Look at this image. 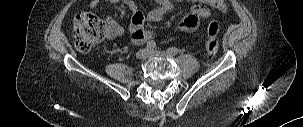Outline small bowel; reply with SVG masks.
Here are the masks:
<instances>
[{"instance_id": "small-bowel-1", "label": "small bowel", "mask_w": 303, "mask_h": 127, "mask_svg": "<svg viewBox=\"0 0 303 127\" xmlns=\"http://www.w3.org/2000/svg\"><path fill=\"white\" fill-rule=\"evenodd\" d=\"M101 0H91L89 7L94 9L98 6ZM107 2L125 5L132 13L129 31L131 40L134 44H143L153 41L154 33L145 30V22H158L163 19L171 10V0H154L156 6L149 11L146 15L141 12L134 0H105ZM182 1V0H176ZM198 2L199 5L193 6L189 13L180 21L179 27L183 31H194L201 18H209L216 11H225L226 5L222 0H188ZM107 22L109 25L110 36L118 37L123 33L122 26L113 18L108 17Z\"/></svg>"}]
</instances>
